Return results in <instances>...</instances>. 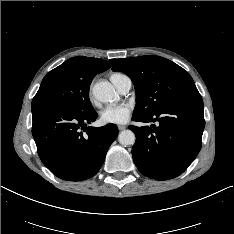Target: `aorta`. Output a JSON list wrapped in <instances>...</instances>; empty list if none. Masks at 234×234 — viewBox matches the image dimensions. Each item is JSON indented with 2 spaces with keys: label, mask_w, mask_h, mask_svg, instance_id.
<instances>
[{
  "label": "aorta",
  "mask_w": 234,
  "mask_h": 234,
  "mask_svg": "<svg viewBox=\"0 0 234 234\" xmlns=\"http://www.w3.org/2000/svg\"><path fill=\"white\" fill-rule=\"evenodd\" d=\"M92 91L96 99L103 103L114 102L117 99L116 91L108 81L97 82ZM118 140L121 145H133L135 134L131 130H123L119 133Z\"/></svg>",
  "instance_id": "obj_1"
}]
</instances>
